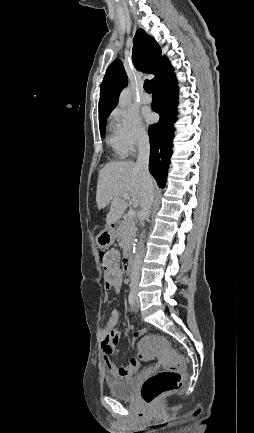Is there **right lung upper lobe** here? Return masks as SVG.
Masks as SVG:
<instances>
[{
	"mask_svg": "<svg viewBox=\"0 0 254 433\" xmlns=\"http://www.w3.org/2000/svg\"><path fill=\"white\" fill-rule=\"evenodd\" d=\"M132 60L135 67L148 74H154L152 85L159 82L172 68L153 37L143 29L137 30L133 41ZM127 85V74L119 59L114 60L106 70L100 87L99 123L106 120L116 107L121 90Z\"/></svg>",
	"mask_w": 254,
	"mask_h": 433,
	"instance_id": "obj_1",
	"label": "right lung upper lobe"
}]
</instances>
